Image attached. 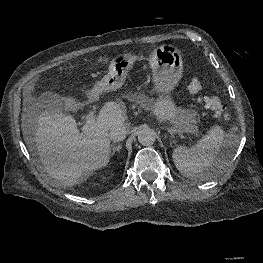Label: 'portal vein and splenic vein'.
<instances>
[{
	"label": "portal vein and splenic vein",
	"instance_id": "obj_1",
	"mask_svg": "<svg viewBox=\"0 0 263 263\" xmlns=\"http://www.w3.org/2000/svg\"><path fill=\"white\" fill-rule=\"evenodd\" d=\"M95 115L93 112L89 113L87 116L86 124L82 127L83 132H89L94 128L95 125Z\"/></svg>",
	"mask_w": 263,
	"mask_h": 263
}]
</instances>
